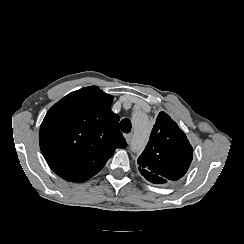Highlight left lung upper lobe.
<instances>
[{
  "instance_id": "obj_1",
  "label": "left lung upper lobe",
  "mask_w": 244,
  "mask_h": 244,
  "mask_svg": "<svg viewBox=\"0 0 244 244\" xmlns=\"http://www.w3.org/2000/svg\"><path fill=\"white\" fill-rule=\"evenodd\" d=\"M192 158L193 148L185 133L169 115L160 112L138 158L141 175L154 184L174 182L185 175Z\"/></svg>"
}]
</instances>
